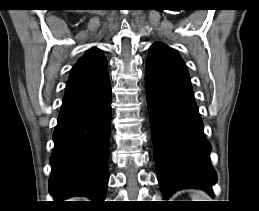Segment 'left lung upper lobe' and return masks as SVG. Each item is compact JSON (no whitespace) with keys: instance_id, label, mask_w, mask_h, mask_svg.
Returning a JSON list of instances; mask_svg holds the SVG:
<instances>
[{"instance_id":"left-lung-upper-lobe-1","label":"left lung upper lobe","mask_w":259,"mask_h":211,"mask_svg":"<svg viewBox=\"0 0 259 211\" xmlns=\"http://www.w3.org/2000/svg\"><path fill=\"white\" fill-rule=\"evenodd\" d=\"M145 77L167 87L192 90L185 64L176 51L161 42L150 46Z\"/></svg>"}]
</instances>
